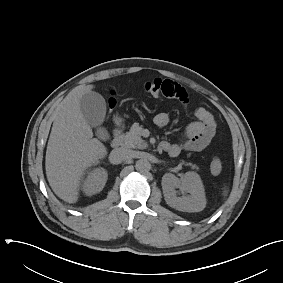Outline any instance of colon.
I'll list each match as a JSON object with an SVG mask.
<instances>
[{
	"instance_id": "5ec220e1",
	"label": "colon",
	"mask_w": 283,
	"mask_h": 283,
	"mask_svg": "<svg viewBox=\"0 0 283 283\" xmlns=\"http://www.w3.org/2000/svg\"><path fill=\"white\" fill-rule=\"evenodd\" d=\"M144 89L148 94L152 96H159L162 92V80L158 78L150 80L145 83ZM114 105H115V100L111 98L109 100L110 108H112ZM210 168L214 174H219L223 168L222 161L217 157L213 158L210 164Z\"/></svg>"
}]
</instances>
